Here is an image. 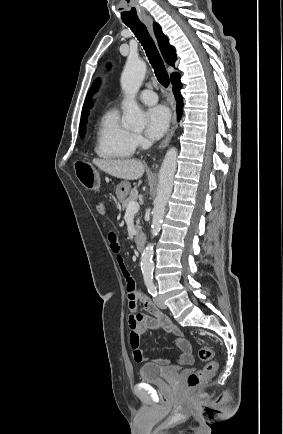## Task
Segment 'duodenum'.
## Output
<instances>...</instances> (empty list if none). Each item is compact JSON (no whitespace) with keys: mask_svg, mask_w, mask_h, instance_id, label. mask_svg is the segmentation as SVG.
Masks as SVG:
<instances>
[{"mask_svg":"<svg viewBox=\"0 0 283 434\" xmlns=\"http://www.w3.org/2000/svg\"><path fill=\"white\" fill-rule=\"evenodd\" d=\"M146 245V239L143 235H139L136 238V247L140 252H143Z\"/></svg>","mask_w":283,"mask_h":434,"instance_id":"obj_1","label":"duodenum"}]
</instances>
